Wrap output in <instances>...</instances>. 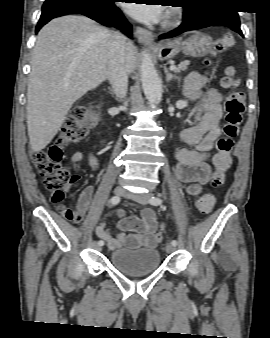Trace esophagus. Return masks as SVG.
<instances>
[{"label":"esophagus","mask_w":270,"mask_h":338,"mask_svg":"<svg viewBox=\"0 0 270 338\" xmlns=\"http://www.w3.org/2000/svg\"><path fill=\"white\" fill-rule=\"evenodd\" d=\"M134 34H135V37L139 40V42L149 45V46H155L154 36L150 31L137 26L135 28Z\"/></svg>","instance_id":"esophagus-1"}]
</instances>
